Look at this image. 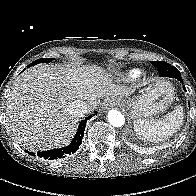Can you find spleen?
Returning a JSON list of instances; mask_svg holds the SVG:
<instances>
[{
  "label": "spleen",
  "mask_w": 196,
  "mask_h": 196,
  "mask_svg": "<svg viewBox=\"0 0 196 196\" xmlns=\"http://www.w3.org/2000/svg\"><path fill=\"white\" fill-rule=\"evenodd\" d=\"M184 118L183 107L178 105L164 117L154 119H137L134 121V131L147 141L158 142L169 138L182 126Z\"/></svg>",
  "instance_id": "3e777b00"
}]
</instances>
